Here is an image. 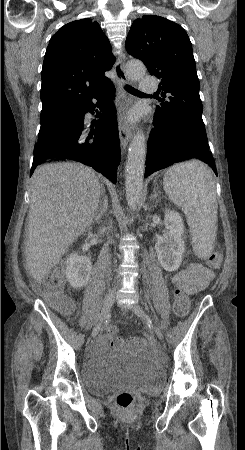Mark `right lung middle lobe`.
I'll use <instances>...</instances> for the list:
<instances>
[{"mask_svg": "<svg viewBox=\"0 0 245 450\" xmlns=\"http://www.w3.org/2000/svg\"><path fill=\"white\" fill-rule=\"evenodd\" d=\"M68 109H70V108L57 109V110H50V111H43V112H41V116H40L41 127H40V131H39V136H42L46 132V129L51 126L52 121L58 115L64 113Z\"/></svg>", "mask_w": 245, "mask_h": 450, "instance_id": "right-lung-middle-lobe-1", "label": "right lung middle lobe"}]
</instances>
